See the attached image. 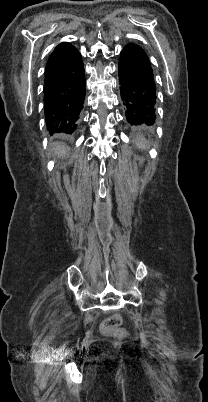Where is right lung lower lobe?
I'll return each instance as SVG.
<instances>
[{
  "label": "right lung lower lobe",
  "mask_w": 208,
  "mask_h": 402,
  "mask_svg": "<svg viewBox=\"0 0 208 402\" xmlns=\"http://www.w3.org/2000/svg\"><path fill=\"white\" fill-rule=\"evenodd\" d=\"M86 94L81 54L69 43L59 44L45 68L44 112L48 132L72 134L79 123Z\"/></svg>",
  "instance_id": "obj_1"
}]
</instances>
